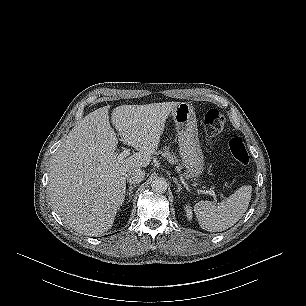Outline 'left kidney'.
<instances>
[{"label":"left kidney","mask_w":306,"mask_h":306,"mask_svg":"<svg viewBox=\"0 0 306 306\" xmlns=\"http://www.w3.org/2000/svg\"><path fill=\"white\" fill-rule=\"evenodd\" d=\"M184 210L186 212V216H187L188 220H191L192 217H193V214H192V210H191L190 205L189 204L185 205Z\"/></svg>","instance_id":"5707ae66"}]
</instances>
